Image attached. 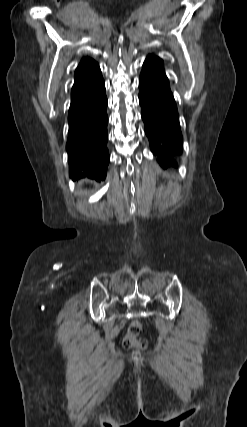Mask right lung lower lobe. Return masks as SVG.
<instances>
[{"instance_id": "obj_1", "label": "right lung lower lobe", "mask_w": 247, "mask_h": 427, "mask_svg": "<svg viewBox=\"0 0 247 427\" xmlns=\"http://www.w3.org/2000/svg\"><path fill=\"white\" fill-rule=\"evenodd\" d=\"M107 97L100 69L77 79L71 91L66 144L70 177L105 179L109 164Z\"/></svg>"}]
</instances>
